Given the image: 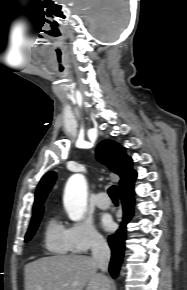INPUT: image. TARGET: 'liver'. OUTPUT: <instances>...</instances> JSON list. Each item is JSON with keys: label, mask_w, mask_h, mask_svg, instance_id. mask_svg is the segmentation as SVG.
I'll list each match as a JSON object with an SVG mask.
<instances>
[{"label": "liver", "mask_w": 187, "mask_h": 290, "mask_svg": "<svg viewBox=\"0 0 187 290\" xmlns=\"http://www.w3.org/2000/svg\"><path fill=\"white\" fill-rule=\"evenodd\" d=\"M24 270L25 290H112V280L88 256L43 257Z\"/></svg>", "instance_id": "6515ba94"}]
</instances>
